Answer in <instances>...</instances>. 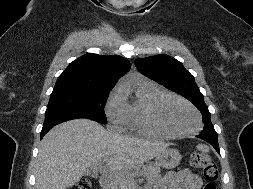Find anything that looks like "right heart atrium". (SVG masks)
I'll use <instances>...</instances> for the list:
<instances>
[{"instance_id": "obj_1", "label": "right heart atrium", "mask_w": 253, "mask_h": 189, "mask_svg": "<svg viewBox=\"0 0 253 189\" xmlns=\"http://www.w3.org/2000/svg\"><path fill=\"white\" fill-rule=\"evenodd\" d=\"M105 112L111 124L118 127L127 125V102L121 89L116 88L109 94Z\"/></svg>"}]
</instances>
